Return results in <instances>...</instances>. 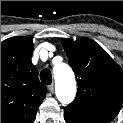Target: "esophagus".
Segmentation results:
<instances>
[{"label":"esophagus","instance_id":"1","mask_svg":"<svg viewBox=\"0 0 123 123\" xmlns=\"http://www.w3.org/2000/svg\"><path fill=\"white\" fill-rule=\"evenodd\" d=\"M48 89H49V91H50L51 93H53V92H54V84H53V83L50 84V85L48 86Z\"/></svg>","mask_w":123,"mask_h":123}]
</instances>
